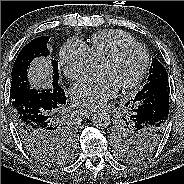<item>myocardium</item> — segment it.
Wrapping results in <instances>:
<instances>
[{"label": "myocardium", "instance_id": "1", "mask_svg": "<svg viewBox=\"0 0 184 184\" xmlns=\"http://www.w3.org/2000/svg\"><path fill=\"white\" fill-rule=\"evenodd\" d=\"M132 48H137L139 49L142 54H143V65L139 71V73L136 75V77L130 81L129 83H126L122 85L120 88L122 90H131L139 86V84L142 82L144 79L149 65H150V54L148 49L141 43L138 42H129L122 44L119 46L117 49H115L111 54L105 56L103 59L100 60V63H110V62H115L118 60L127 50L132 49Z\"/></svg>", "mask_w": 184, "mask_h": 184}]
</instances>
